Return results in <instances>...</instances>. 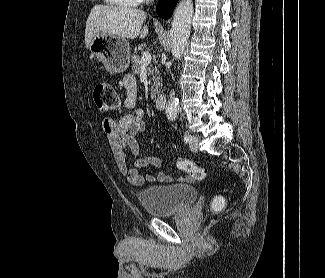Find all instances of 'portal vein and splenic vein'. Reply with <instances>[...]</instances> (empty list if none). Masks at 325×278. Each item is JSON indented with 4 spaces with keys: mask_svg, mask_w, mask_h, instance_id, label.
Returning a JSON list of instances; mask_svg holds the SVG:
<instances>
[{
    "mask_svg": "<svg viewBox=\"0 0 325 278\" xmlns=\"http://www.w3.org/2000/svg\"><path fill=\"white\" fill-rule=\"evenodd\" d=\"M150 62H151V54L147 51H144L141 57V66L146 67L150 64Z\"/></svg>",
    "mask_w": 325,
    "mask_h": 278,
    "instance_id": "obj_1",
    "label": "portal vein and splenic vein"
}]
</instances>
